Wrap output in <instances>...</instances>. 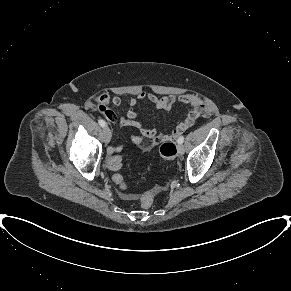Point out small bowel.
Masks as SVG:
<instances>
[{
	"mask_svg": "<svg viewBox=\"0 0 291 291\" xmlns=\"http://www.w3.org/2000/svg\"><path fill=\"white\" fill-rule=\"evenodd\" d=\"M148 100L159 110L169 111L176 102L183 103L189 107V112L184 120L178 123L176 128L171 133H159L156 129H145L143 124L137 120V112L135 107L140 101ZM98 109L105 117L113 123L119 122L122 126H129L138 129L141 132V136L132 134L130 139L133 143L139 144L143 139H147L151 142H166L175 141L181 133L194 125L196 120L205 112L206 105L204 101L194 94H183L180 96H162L158 97L153 93L141 91L132 97L128 102V108L126 112L117 118L110 105L120 106L122 101L118 96L110 97L107 94H101L97 97ZM122 145H114L108 148V155L119 153L122 150ZM125 199H133L132 194H122Z\"/></svg>",
	"mask_w": 291,
	"mask_h": 291,
	"instance_id": "obj_1",
	"label": "small bowel"
}]
</instances>
